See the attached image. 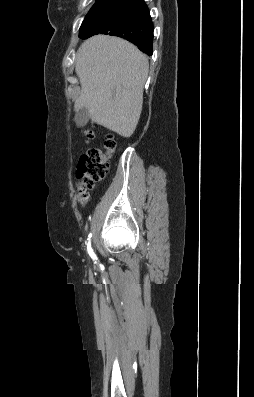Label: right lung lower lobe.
<instances>
[{
    "label": "right lung lower lobe",
    "mask_w": 254,
    "mask_h": 397,
    "mask_svg": "<svg viewBox=\"0 0 254 397\" xmlns=\"http://www.w3.org/2000/svg\"><path fill=\"white\" fill-rule=\"evenodd\" d=\"M95 34L122 37L152 55L153 23L144 0H106L80 28L82 39Z\"/></svg>",
    "instance_id": "right-lung-lower-lobe-1"
}]
</instances>
